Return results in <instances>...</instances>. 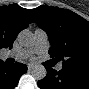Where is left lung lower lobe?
I'll return each instance as SVG.
<instances>
[{"label": "left lung lower lobe", "mask_w": 89, "mask_h": 89, "mask_svg": "<svg viewBox=\"0 0 89 89\" xmlns=\"http://www.w3.org/2000/svg\"><path fill=\"white\" fill-rule=\"evenodd\" d=\"M47 75L38 81L41 89H89V71L46 68Z\"/></svg>", "instance_id": "left-lung-lower-lobe-1"}]
</instances>
